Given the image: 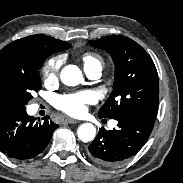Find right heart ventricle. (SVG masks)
<instances>
[{
	"instance_id": "obj_1",
	"label": "right heart ventricle",
	"mask_w": 183,
	"mask_h": 183,
	"mask_svg": "<svg viewBox=\"0 0 183 183\" xmlns=\"http://www.w3.org/2000/svg\"><path fill=\"white\" fill-rule=\"evenodd\" d=\"M82 62L84 65V69H89L93 68L95 66H101L102 67V62L100 58L92 53H86L82 57Z\"/></svg>"
}]
</instances>
